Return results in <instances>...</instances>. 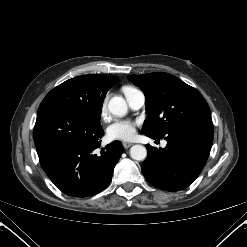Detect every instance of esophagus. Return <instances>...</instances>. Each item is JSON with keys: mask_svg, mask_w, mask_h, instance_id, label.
<instances>
[{"mask_svg": "<svg viewBox=\"0 0 247 247\" xmlns=\"http://www.w3.org/2000/svg\"><path fill=\"white\" fill-rule=\"evenodd\" d=\"M130 146H132V143H130V142H123V147L125 149H128Z\"/></svg>", "mask_w": 247, "mask_h": 247, "instance_id": "1", "label": "esophagus"}]
</instances>
